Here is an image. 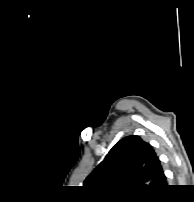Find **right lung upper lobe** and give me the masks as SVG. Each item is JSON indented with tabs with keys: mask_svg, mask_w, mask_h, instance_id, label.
I'll use <instances>...</instances> for the list:
<instances>
[{
	"mask_svg": "<svg viewBox=\"0 0 194 202\" xmlns=\"http://www.w3.org/2000/svg\"><path fill=\"white\" fill-rule=\"evenodd\" d=\"M84 186L106 196H148L167 185L152 146L139 136H127L110 150Z\"/></svg>",
	"mask_w": 194,
	"mask_h": 202,
	"instance_id": "obj_1",
	"label": "right lung upper lobe"
}]
</instances>
